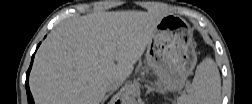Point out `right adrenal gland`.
<instances>
[{
    "instance_id": "obj_1",
    "label": "right adrenal gland",
    "mask_w": 252,
    "mask_h": 104,
    "mask_svg": "<svg viewBox=\"0 0 252 104\" xmlns=\"http://www.w3.org/2000/svg\"><path fill=\"white\" fill-rule=\"evenodd\" d=\"M112 94H113L112 92L108 93V94L104 97V99H103V101H102V104H104L105 101H106Z\"/></svg>"
}]
</instances>
